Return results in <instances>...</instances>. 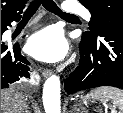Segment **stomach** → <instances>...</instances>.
<instances>
[{"instance_id": "obj_1", "label": "stomach", "mask_w": 123, "mask_h": 113, "mask_svg": "<svg viewBox=\"0 0 123 113\" xmlns=\"http://www.w3.org/2000/svg\"><path fill=\"white\" fill-rule=\"evenodd\" d=\"M82 101H83V103H87L88 102V100L85 99V98H82Z\"/></svg>"}]
</instances>
